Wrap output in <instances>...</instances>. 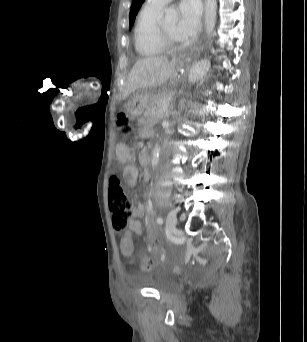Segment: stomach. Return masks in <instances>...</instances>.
<instances>
[{
	"label": "stomach",
	"mask_w": 307,
	"mask_h": 342,
	"mask_svg": "<svg viewBox=\"0 0 307 342\" xmlns=\"http://www.w3.org/2000/svg\"><path fill=\"white\" fill-rule=\"evenodd\" d=\"M188 68V62L185 60L177 61L174 71L170 77L172 84L176 83L185 70ZM152 95L149 93L138 94L131 99L124 106V113L128 118H135L141 115L144 109L147 107Z\"/></svg>",
	"instance_id": "stomach-1"
}]
</instances>
